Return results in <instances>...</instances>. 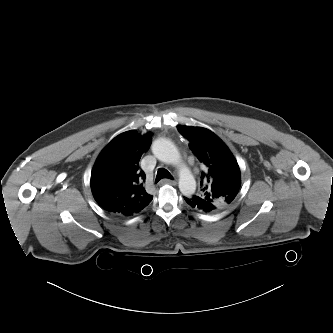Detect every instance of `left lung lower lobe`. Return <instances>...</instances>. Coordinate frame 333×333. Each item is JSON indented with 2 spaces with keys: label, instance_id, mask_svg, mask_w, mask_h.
Returning <instances> with one entry per match:
<instances>
[{
  "label": "left lung lower lobe",
  "instance_id": "left-lung-lower-lobe-1",
  "mask_svg": "<svg viewBox=\"0 0 333 333\" xmlns=\"http://www.w3.org/2000/svg\"><path fill=\"white\" fill-rule=\"evenodd\" d=\"M185 201L189 206H191L194 209L204 211V212H214L217 208L216 206L204 199L199 198L198 196L193 197H184Z\"/></svg>",
  "mask_w": 333,
  "mask_h": 333
}]
</instances>
